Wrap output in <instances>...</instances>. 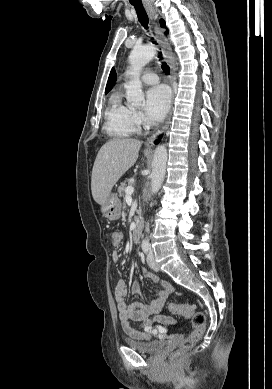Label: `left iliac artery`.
Instances as JSON below:
<instances>
[{
	"mask_svg": "<svg viewBox=\"0 0 272 389\" xmlns=\"http://www.w3.org/2000/svg\"><path fill=\"white\" fill-rule=\"evenodd\" d=\"M150 248V243L148 240H143L142 242V250L147 253Z\"/></svg>",
	"mask_w": 272,
	"mask_h": 389,
	"instance_id": "left-iliac-artery-1",
	"label": "left iliac artery"
}]
</instances>
